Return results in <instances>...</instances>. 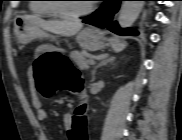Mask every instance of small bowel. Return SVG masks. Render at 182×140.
Returning a JSON list of instances; mask_svg holds the SVG:
<instances>
[{"mask_svg": "<svg viewBox=\"0 0 182 140\" xmlns=\"http://www.w3.org/2000/svg\"><path fill=\"white\" fill-rule=\"evenodd\" d=\"M36 56H39V53L37 52ZM31 101H32V105L34 106V108L36 109V117L40 122H44L47 119V113L46 111L42 108V104L41 101L39 99V97L37 96V94L32 91L31 92ZM70 120H71V116L66 115L64 116V126L66 129L69 128L70 126ZM47 140L49 139V135H47Z\"/></svg>", "mask_w": 182, "mask_h": 140, "instance_id": "small-bowel-1", "label": "small bowel"}]
</instances>
